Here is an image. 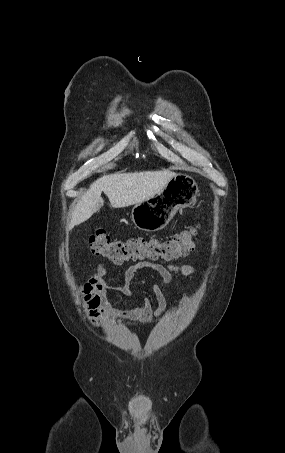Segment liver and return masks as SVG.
Instances as JSON below:
<instances>
[{
    "instance_id": "1",
    "label": "liver",
    "mask_w": 285,
    "mask_h": 453,
    "mask_svg": "<svg viewBox=\"0 0 285 453\" xmlns=\"http://www.w3.org/2000/svg\"><path fill=\"white\" fill-rule=\"evenodd\" d=\"M170 170L115 173L105 175L91 184L75 206L68 230L88 220L103 205L101 193L108 197L113 208L141 203L159 193L175 176Z\"/></svg>"
}]
</instances>
